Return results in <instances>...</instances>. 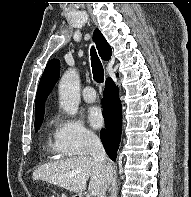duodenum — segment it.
I'll return each instance as SVG.
<instances>
[{"mask_svg": "<svg viewBox=\"0 0 191 197\" xmlns=\"http://www.w3.org/2000/svg\"><path fill=\"white\" fill-rule=\"evenodd\" d=\"M75 197H82V196L78 194V195H76Z\"/></svg>", "mask_w": 191, "mask_h": 197, "instance_id": "410a0bca", "label": "duodenum"}]
</instances>
